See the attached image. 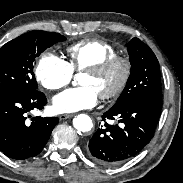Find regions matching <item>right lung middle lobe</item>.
Instances as JSON below:
<instances>
[{"mask_svg":"<svg viewBox=\"0 0 183 183\" xmlns=\"http://www.w3.org/2000/svg\"><path fill=\"white\" fill-rule=\"evenodd\" d=\"M66 38L58 33L31 31L0 49V91L37 90L33 73L34 61L46 48Z\"/></svg>","mask_w":183,"mask_h":183,"instance_id":"1","label":"right lung middle lobe"}]
</instances>
